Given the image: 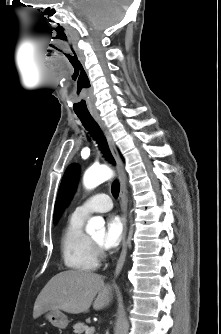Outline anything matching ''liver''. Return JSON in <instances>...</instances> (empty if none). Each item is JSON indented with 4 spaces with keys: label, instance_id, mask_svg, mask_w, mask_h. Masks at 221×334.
<instances>
[{
    "label": "liver",
    "instance_id": "6515ba94",
    "mask_svg": "<svg viewBox=\"0 0 221 334\" xmlns=\"http://www.w3.org/2000/svg\"><path fill=\"white\" fill-rule=\"evenodd\" d=\"M113 298L112 286L104 283L101 275L68 270L56 274L38 295L33 318L49 310H62L71 314L84 313L91 305L101 310Z\"/></svg>",
    "mask_w": 221,
    "mask_h": 334
}]
</instances>
